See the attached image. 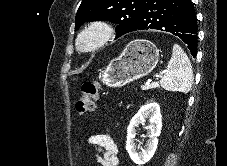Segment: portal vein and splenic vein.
Listing matches in <instances>:
<instances>
[{
  "mask_svg": "<svg viewBox=\"0 0 227 166\" xmlns=\"http://www.w3.org/2000/svg\"><path fill=\"white\" fill-rule=\"evenodd\" d=\"M162 74V73H161ZM157 77L159 78L160 77V75H157ZM157 78V79H158ZM150 84V81H148L147 83H146V85H149Z\"/></svg>",
  "mask_w": 227,
  "mask_h": 166,
  "instance_id": "18ae733b",
  "label": "portal vein and splenic vein"
}]
</instances>
